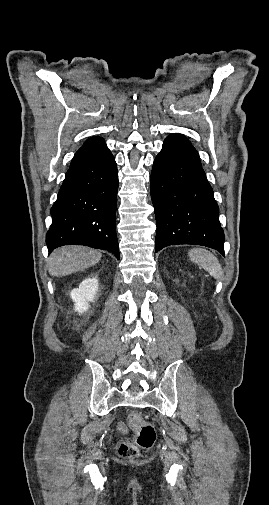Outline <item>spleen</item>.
Listing matches in <instances>:
<instances>
[{
  "label": "spleen",
  "mask_w": 269,
  "mask_h": 505,
  "mask_svg": "<svg viewBox=\"0 0 269 505\" xmlns=\"http://www.w3.org/2000/svg\"><path fill=\"white\" fill-rule=\"evenodd\" d=\"M188 255L192 262L201 266L215 279H221L223 270L213 253L203 248H193L189 250Z\"/></svg>",
  "instance_id": "1"
}]
</instances>
